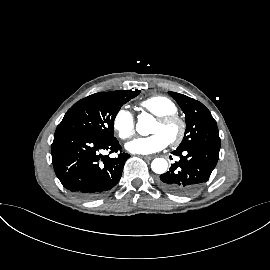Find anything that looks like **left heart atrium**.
I'll return each mask as SVG.
<instances>
[{
	"label": "left heart atrium",
	"mask_w": 270,
	"mask_h": 270,
	"mask_svg": "<svg viewBox=\"0 0 270 270\" xmlns=\"http://www.w3.org/2000/svg\"><path fill=\"white\" fill-rule=\"evenodd\" d=\"M168 140L161 134H152L148 137H138L126 144L129 152L134 154H152L165 149Z\"/></svg>",
	"instance_id": "obj_1"
}]
</instances>
